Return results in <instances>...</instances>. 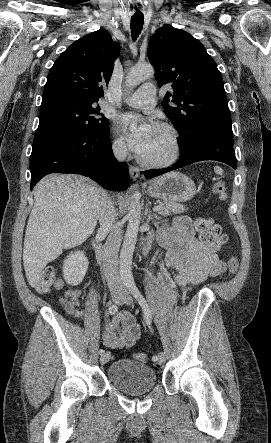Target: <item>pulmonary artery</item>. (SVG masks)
Returning <instances> with one entry per match:
<instances>
[{
  "instance_id": "1",
  "label": "pulmonary artery",
  "mask_w": 271,
  "mask_h": 443,
  "mask_svg": "<svg viewBox=\"0 0 271 443\" xmlns=\"http://www.w3.org/2000/svg\"><path fill=\"white\" fill-rule=\"evenodd\" d=\"M156 89L153 84L147 83L139 87L133 94L127 96L124 102L136 108H151L155 105Z\"/></svg>"
}]
</instances>
